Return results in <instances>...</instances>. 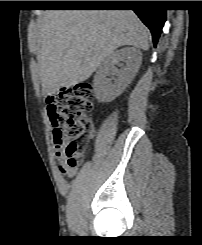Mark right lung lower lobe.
I'll return each mask as SVG.
<instances>
[{
	"instance_id": "right-lung-lower-lobe-1",
	"label": "right lung lower lobe",
	"mask_w": 202,
	"mask_h": 245,
	"mask_svg": "<svg viewBox=\"0 0 202 245\" xmlns=\"http://www.w3.org/2000/svg\"><path fill=\"white\" fill-rule=\"evenodd\" d=\"M152 1H135L130 6H133V11L138 15L142 22L150 29L154 46L156 47L162 27L166 21V10L153 7ZM80 6H112L100 3H83ZM120 6V5H113Z\"/></svg>"
}]
</instances>
